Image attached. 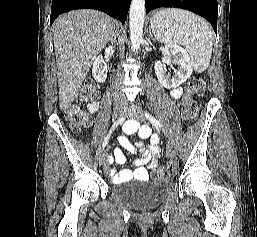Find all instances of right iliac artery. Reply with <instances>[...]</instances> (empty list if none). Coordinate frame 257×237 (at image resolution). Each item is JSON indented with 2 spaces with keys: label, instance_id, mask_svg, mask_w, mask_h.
<instances>
[{
  "label": "right iliac artery",
  "instance_id": "right-iliac-artery-1",
  "mask_svg": "<svg viewBox=\"0 0 257 237\" xmlns=\"http://www.w3.org/2000/svg\"><path fill=\"white\" fill-rule=\"evenodd\" d=\"M125 121V117H121L120 119H118L116 122H114V124L112 125L109 133L107 134L106 138L104 139V142L102 144L103 148L108 144L109 142V138L112 134V132L115 130V128L118 127V125L123 124V122Z\"/></svg>",
  "mask_w": 257,
  "mask_h": 237
}]
</instances>
